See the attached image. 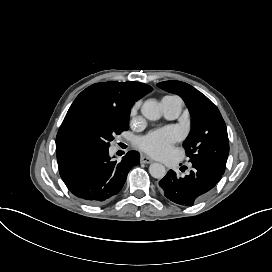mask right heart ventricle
I'll return each mask as SVG.
<instances>
[{
  "instance_id": "1",
  "label": "right heart ventricle",
  "mask_w": 272,
  "mask_h": 272,
  "mask_svg": "<svg viewBox=\"0 0 272 272\" xmlns=\"http://www.w3.org/2000/svg\"><path fill=\"white\" fill-rule=\"evenodd\" d=\"M161 111H162V113H164V110H163L162 106H161ZM168 129L171 131L172 136L174 137V132L177 129V127L176 126H170Z\"/></svg>"
}]
</instances>
